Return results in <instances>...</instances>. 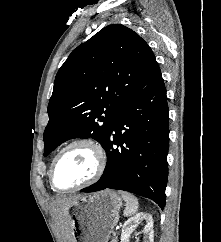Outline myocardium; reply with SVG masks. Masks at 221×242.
<instances>
[{
    "label": "myocardium",
    "mask_w": 221,
    "mask_h": 242,
    "mask_svg": "<svg viewBox=\"0 0 221 242\" xmlns=\"http://www.w3.org/2000/svg\"><path fill=\"white\" fill-rule=\"evenodd\" d=\"M76 145H85L92 150V152L95 156V160H96L95 170H94L93 174L91 175V177H89L87 180L83 181L82 183L68 187V188H59L56 186V184L54 182V177H53L54 168H55L56 163L58 162L59 158L63 155V153L66 150H68L69 148L76 146ZM105 167H106V154H105L103 147L97 141H95L92 138H88V137L75 138V139L71 140L70 142H68L66 145H64L54 156V158L51 162L50 168H49V182H50L51 187L58 191L68 192V191L78 190V189L87 187V186L93 184L94 182H96L102 176V174L105 170Z\"/></svg>",
    "instance_id": "1"
}]
</instances>
